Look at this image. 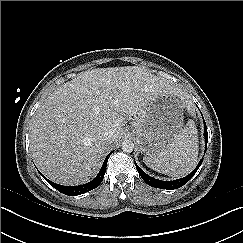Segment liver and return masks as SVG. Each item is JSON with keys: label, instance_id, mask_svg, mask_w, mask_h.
<instances>
[{"label": "liver", "instance_id": "liver-1", "mask_svg": "<svg viewBox=\"0 0 243 243\" xmlns=\"http://www.w3.org/2000/svg\"><path fill=\"white\" fill-rule=\"evenodd\" d=\"M161 94L187 102L180 87L137 66L96 68L59 86L37 109L30 150L37 167L50 180L79 185L93 179L111 143L102 134L124 133L128 117L137 118Z\"/></svg>", "mask_w": 243, "mask_h": 243}]
</instances>
